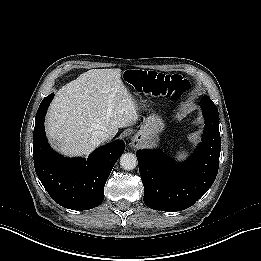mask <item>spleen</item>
Masks as SVG:
<instances>
[{
	"label": "spleen",
	"mask_w": 261,
	"mask_h": 261,
	"mask_svg": "<svg viewBox=\"0 0 261 261\" xmlns=\"http://www.w3.org/2000/svg\"><path fill=\"white\" fill-rule=\"evenodd\" d=\"M189 156V152L187 150H180L177 152L176 158L178 160H185Z\"/></svg>",
	"instance_id": "obj_1"
}]
</instances>
